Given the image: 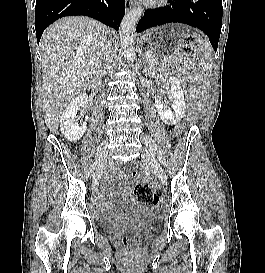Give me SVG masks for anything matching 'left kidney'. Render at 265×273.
Wrapping results in <instances>:
<instances>
[{
    "mask_svg": "<svg viewBox=\"0 0 265 273\" xmlns=\"http://www.w3.org/2000/svg\"><path fill=\"white\" fill-rule=\"evenodd\" d=\"M169 83V98L173 102V111L167 109V105L161 101L160 97L155 98V107L162 121L165 124L173 125L183 118L186 111V103L184 99V93L180 86V81L178 80V78L171 76L169 79Z\"/></svg>",
    "mask_w": 265,
    "mask_h": 273,
    "instance_id": "1",
    "label": "left kidney"
}]
</instances>
